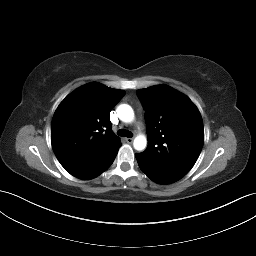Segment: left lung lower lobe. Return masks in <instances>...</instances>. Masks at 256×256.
Here are the masks:
<instances>
[{
  "instance_id": "0a47b994",
  "label": "left lung lower lobe",
  "mask_w": 256,
  "mask_h": 256,
  "mask_svg": "<svg viewBox=\"0 0 256 256\" xmlns=\"http://www.w3.org/2000/svg\"><path fill=\"white\" fill-rule=\"evenodd\" d=\"M137 162L141 170L154 182L159 184H170L178 181L180 178L161 173L150 168L147 163L142 159L141 154H135Z\"/></svg>"
}]
</instances>
